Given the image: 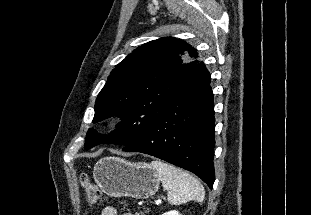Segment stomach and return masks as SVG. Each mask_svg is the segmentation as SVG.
<instances>
[{"instance_id":"1","label":"stomach","mask_w":311,"mask_h":215,"mask_svg":"<svg viewBox=\"0 0 311 215\" xmlns=\"http://www.w3.org/2000/svg\"><path fill=\"white\" fill-rule=\"evenodd\" d=\"M94 179L111 197L147 199L160 184L156 171L145 162H128L118 157L100 159L94 168Z\"/></svg>"}]
</instances>
